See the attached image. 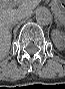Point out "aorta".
I'll return each instance as SVG.
<instances>
[{
  "label": "aorta",
  "mask_w": 65,
  "mask_h": 89,
  "mask_svg": "<svg viewBox=\"0 0 65 89\" xmlns=\"http://www.w3.org/2000/svg\"><path fill=\"white\" fill-rule=\"evenodd\" d=\"M36 21L41 25H49L52 22V13L46 7H40L36 10Z\"/></svg>",
  "instance_id": "762f6f07"
}]
</instances>
